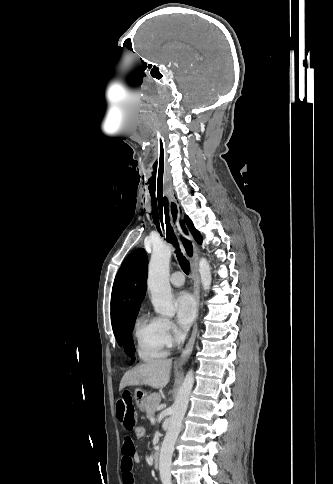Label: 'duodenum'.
Listing matches in <instances>:
<instances>
[{"instance_id": "obj_1", "label": "duodenum", "mask_w": 333, "mask_h": 484, "mask_svg": "<svg viewBox=\"0 0 333 484\" xmlns=\"http://www.w3.org/2000/svg\"><path fill=\"white\" fill-rule=\"evenodd\" d=\"M160 449H156L153 454V465L155 469H159L160 467Z\"/></svg>"}]
</instances>
